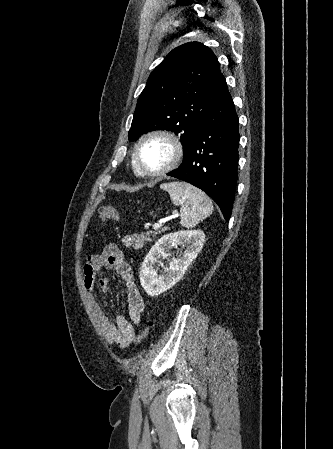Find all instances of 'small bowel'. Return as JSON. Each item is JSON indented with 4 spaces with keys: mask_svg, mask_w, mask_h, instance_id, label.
<instances>
[{
    "mask_svg": "<svg viewBox=\"0 0 333 449\" xmlns=\"http://www.w3.org/2000/svg\"><path fill=\"white\" fill-rule=\"evenodd\" d=\"M104 267L115 270L125 284L129 318L118 315L112 321L95 298L96 275ZM83 273L88 302L102 334L109 342H114L122 348L129 346L135 341V328L140 324L144 313V302L136 285L131 266L124 260L120 249L115 244L109 243L104 246L100 254L87 258ZM98 286L102 292L106 293L110 287V280L106 277L100 278Z\"/></svg>",
    "mask_w": 333,
    "mask_h": 449,
    "instance_id": "c3829d8e",
    "label": "small bowel"
}]
</instances>
